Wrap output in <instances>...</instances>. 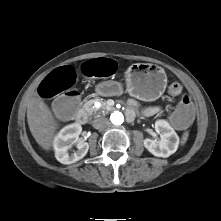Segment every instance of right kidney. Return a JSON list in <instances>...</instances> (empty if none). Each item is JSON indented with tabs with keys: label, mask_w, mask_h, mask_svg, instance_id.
<instances>
[{
	"label": "right kidney",
	"mask_w": 221,
	"mask_h": 221,
	"mask_svg": "<svg viewBox=\"0 0 221 221\" xmlns=\"http://www.w3.org/2000/svg\"><path fill=\"white\" fill-rule=\"evenodd\" d=\"M81 131V125L73 123L62 128L54 138L55 157L60 163L72 164L81 160L87 154L89 144L78 139ZM73 144H76L77 150L69 154L68 150Z\"/></svg>",
	"instance_id": "right-kidney-1"
}]
</instances>
